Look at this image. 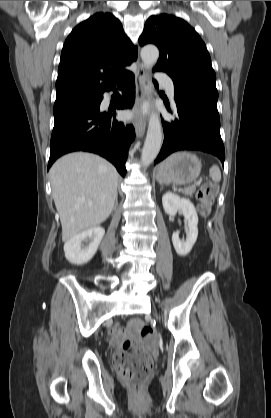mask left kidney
<instances>
[{
    "label": "left kidney",
    "instance_id": "obj_1",
    "mask_svg": "<svg viewBox=\"0 0 271 418\" xmlns=\"http://www.w3.org/2000/svg\"><path fill=\"white\" fill-rule=\"evenodd\" d=\"M162 204L165 212L174 216L181 211L186 219L188 234L185 241L179 239V233L172 235V242L176 253L179 256H186L192 249L198 237V215L193 203L186 198H180L172 192H166L162 197Z\"/></svg>",
    "mask_w": 271,
    "mask_h": 418
}]
</instances>
